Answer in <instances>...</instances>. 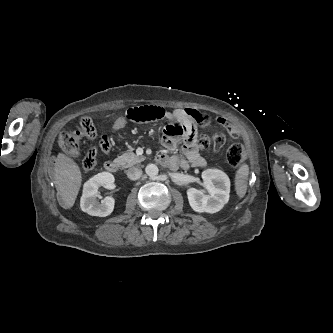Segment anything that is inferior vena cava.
<instances>
[{"label":"inferior vena cava","mask_w":333,"mask_h":333,"mask_svg":"<svg viewBox=\"0 0 333 333\" xmlns=\"http://www.w3.org/2000/svg\"><path fill=\"white\" fill-rule=\"evenodd\" d=\"M126 174L130 180H138L142 175V170L139 167H131L126 171Z\"/></svg>","instance_id":"1"}]
</instances>
